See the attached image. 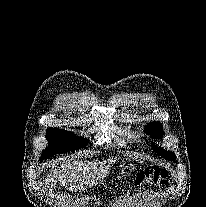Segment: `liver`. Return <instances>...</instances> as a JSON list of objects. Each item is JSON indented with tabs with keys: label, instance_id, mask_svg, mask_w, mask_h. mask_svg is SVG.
Masks as SVG:
<instances>
[{
	"label": "liver",
	"instance_id": "6515ba94",
	"mask_svg": "<svg viewBox=\"0 0 206 207\" xmlns=\"http://www.w3.org/2000/svg\"><path fill=\"white\" fill-rule=\"evenodd\" d=\"M106 169L96 167L92 162L83 160H64L63 164L51 171L45 179V185L52 191L57 182L69 190H82L95 184L104 177Z\"/></svg>",
	"mask_w": 206,
	"mask_h": 207
}]
</instances>
